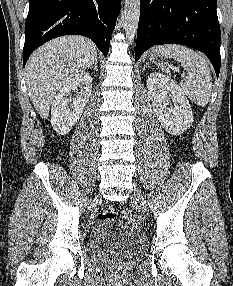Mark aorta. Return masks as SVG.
<instances>
[{"label":"aorta","mask_w":233,"mask_h":286,"mask_svg":"<svg viewBox=\"0 0 233 286\" xmlns=\"http://www.w3.org/2000/svg\"><path fill=\"white\" fill-rule=\"evenodd\" d=\"M140 17V0H125L124 29L128 41H133Z\"/></svg>","instance_id":"obj_1"}]
</instances>
